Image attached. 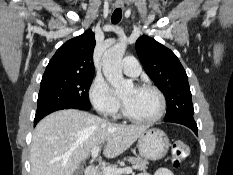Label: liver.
<instances>
[{
  "label": "liver",
  "mask_w": 233,
  "mask_h": 175,
  "mask_svg": "<svg viewBox=\"0 0 233 175\" xmlns=\"http://www.w3.org/2000/svg\"><path fill=\"white\" fill-rule=\"evenodd\" d=\"M146 129L114 124L76 109L56 111L34 130L31 175H73L94 147L104 144V156L114 158L130 148Z\"/></svg>",
  "instance_id": "obj_1"
}]
</instances>
